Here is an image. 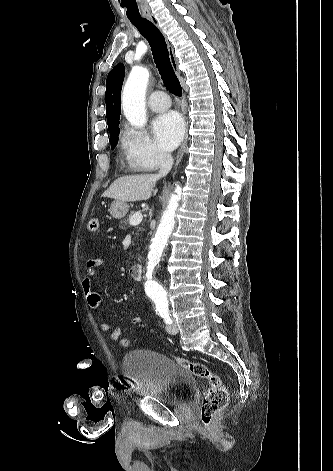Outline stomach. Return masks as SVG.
Masks as SVG:
<instances>
[{
	"label": "stomach",
	"instance_id": "1",
	"mask_svg": "<svg viewBox=\"0 0 333 471\" xmlns=\"http://www.w3.org/2000/svg\"><path fill=\"white\" fill-rule=\"evenodd\" d=\"M128 210L129 205L127 204V202H121L118 200L113 201L109 208L110 214L115 219L123 218L127 214Z\"/></svg>",
	"mask_w": 333,
	"mask_h": 471
}]
</instances>
